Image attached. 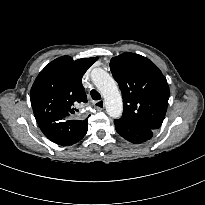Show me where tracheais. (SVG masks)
Wrapping results in <instances>:
<instances>
[{
  "mask_svg": "<svg viewBox=\"0 0 205 205\" xmlns=\"http://www.w3.org/2000/svg\"><path fill=\"white\" fill-rule=\"evenodd\" d=\"M90 94H91V97H92V99L93 100H95V101H97V100H100L101 99V95H100V93L99 92H97L96 90H91V92H90Z\"/></svg>",
  "mask_w": 205,
  "mask_h": 205,
  "instance_id": "trachea-1",
  "label": "trachea"
}]
</instances>
